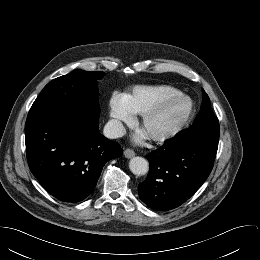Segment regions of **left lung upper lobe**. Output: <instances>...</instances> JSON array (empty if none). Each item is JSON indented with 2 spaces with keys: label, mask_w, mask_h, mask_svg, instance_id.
I'll return each mask as SVG.
<instances>
[{
  "label": "left lung upper lobe",
  "mask_w": 260,
  "mask_h": 260,
  "mask_svg": "<svg viewBox=\"0 0 260 260\" xmlns=\"http://www.w3.org/2000/svg\"><path fill=\"white\" fill-rule=\"evenodd\" d=\"M176 137L185 140H203L218 143L219 121L211 109L210 99L204 90L200 113L189 130L178 133Z\"/></svg>",
  "instance_id": "1"
}]
</instances>
